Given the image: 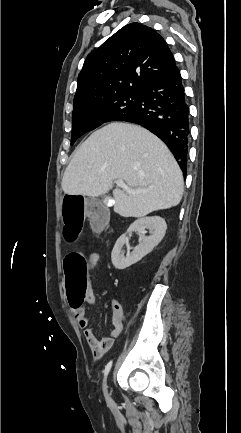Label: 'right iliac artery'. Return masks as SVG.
<instances>
[{"mask_svg": "<svg viewBox=\"0 0 241 433\" xmlns=\"http://www.w3.org/2000/svg\"><path fill=\"white\" fill-rule=\"evenodd\" d=\"M111 366H112V361H110V362L106 365V367H105V370H104V376H105V377L108 375V373H109V371H110V369H111Z\"/></svg>", "mask_w": 241, "mask_h": 433, "instance_id": "obj_1", "label": "right iliac artery"}]
</instances>
